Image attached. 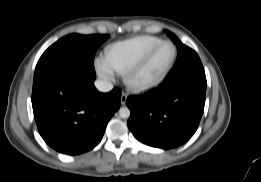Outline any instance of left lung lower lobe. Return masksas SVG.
I'll list each match as a JSON object with an SVG mask.
<instances>
[{
	"label": "left lung lower lobe",
	"instance_id": "1",
	"mask_svg": "<svg viewBox=\"0 0 261 182\" xmlns=\"http://www.w3.org/2000/svg\"><path fill=\"white\" fill-rule=\"evenodd\" d=\"M205 72L163 82L140 96H130L128 127L140 142L170 149L187 142L198 128L205 105Z\"/></svg>",
	"mask_w": 261,
	"mask_h": 182
}]
</instances>
